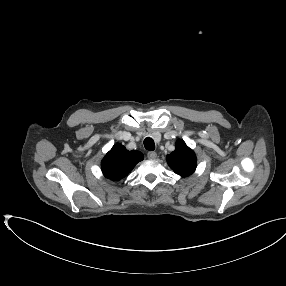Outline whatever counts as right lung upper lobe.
I'll return each mask as SVG.
<instances>
[{
  "label": "right lung upper lobe",
  "mask_w": 286,
  "mask_h": 286,
  "mask_svg": "<svg viewBox=\"0 0 286 286\" xmlns=\"http://www.w3.org/2000/svg\"><path fill=\"white\" fill-rule=\"evenodd\" d=\"M143 160V154L137 150L129 151L123 145L116 144L101 162L104 176L118 181L127 176L135 165Z\"/></svg>",
  "instance_id": "1"
}]
</instances>
